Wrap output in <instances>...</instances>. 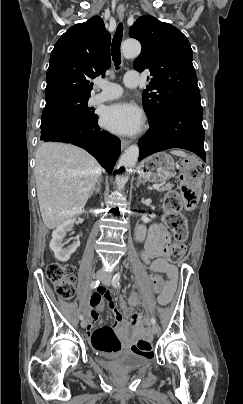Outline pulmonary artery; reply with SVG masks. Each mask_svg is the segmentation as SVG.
I'll return each instance as SVG.
<instances>
[{
	"mask_svg": "<svg viewBox=\"0 0 243 404\" xmlns=\"http://www.w3.org/2000/svg\"><path fill=\"white\" fill-rule=\"evenodd\" d=\"M140 83V79L136 75L126 73L123 77V84L129 88L137 87ZM94 84L99 89V92L92 98L96 103L118 98L122 94V87L108 80L97 78L94 80Z\"/></svg>",
	"mask_w": 243,
	"mask_h": 404,
	"instance_id": "obj_1",
	"label": "pulmonary artery"
}]
</instances>
